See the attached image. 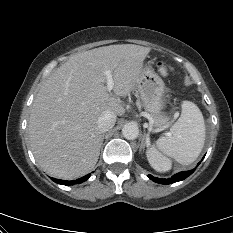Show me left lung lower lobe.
Masks as SVG:
<instances>
[{
	"mask_svg": "<svg viewBox=\"0 0 233 233\" xmlns=\"http://www.w3.org/2000/svg\"><path fill=\"white\" fill-rule=\"evenodd\" d=\"M200 163H198L199 165ZM195 171V169L190 170V171H182L179 172L177 174H175L174 176H172L171 178L168 179H160V178H156L153 177L151 175H148V177L153 180L156 183H160V184H171V183H175L181 180H184L185 178H187L188 176H190L193 172Z\"/></svg>",
	"mask_w": 233,
	"mask_h": 233,
	"instance_id": "0a47b994",
	"label": "left lung lower lobe"
}]
</instances>
